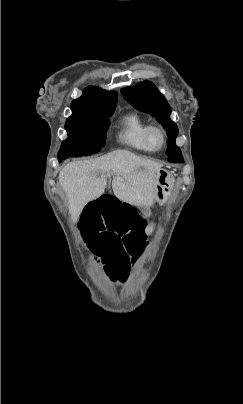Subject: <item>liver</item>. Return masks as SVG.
Returning <instances> with one entry per match:
<instances>
[{"mask_svg":"<svg viewBox=\"0 0 243 404\" xmlns=\"http://www.w3.org/2000/svg\"><path fill=\"white\" fill-rule=\"evenodd\" d=\"M160 168L162 164L140 158L127 150H115L101 158L66 164L59 174V182L69 198L73 222H78L88 202L104 194L106 174L113 176L112 190L118 200L151 208L157 200L154 174Z\"/></svg>","mask_w":243,"mask_h":404,"instance_id":"1","label":"liver"}]
</instances>
